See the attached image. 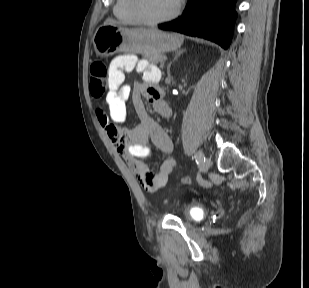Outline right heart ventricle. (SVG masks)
Masks as SVG:
<instances>
[{
    "label": "right heart ventricle",
    "instance_id": "obj_1",
    "mask_svg": "<svg viewBox=\"0 0 309 288\" xmlns=\"http://www.w3.org/2000/svg\"><path fill=\"white\" fill-rule=\"evenodd\" d=\"M113 11L115 17L124 24L139 23L130 10V0H116Z\"/></svg>",
    "mask_w": 309,
    "mask_h": 288
}]
</instances>
